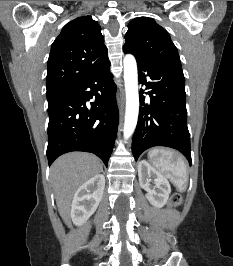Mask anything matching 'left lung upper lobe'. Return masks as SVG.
Returning <instances> with one entry per match:
<instances>
[{"instance_id": "5c2ea615", "label": "left lung upper lobe", "mask_w": 233, "mask_h": 266, "mask_svg": "<svg viewBox=\"0 0 233 266\" xmlns=\"http://www.w3.org/2000/svg\"><path fill=\"white\" fill-rule=\"evenodd\" d=\"M123 51L136 60L151 65H173L182 68L178 50L168 32L148 17H138L128 25Z\"/></svg>"}]
</instances>
